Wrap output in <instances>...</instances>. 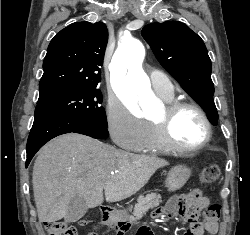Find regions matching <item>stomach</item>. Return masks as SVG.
Here are the masks:
<instances>
[{
  "instance_id": "1",
  "label": "stomach",
  "mask_w": 250,
  "mask_h": 235,
  "mask_svg": "<svg viewBox=\"0 0 250 235\" xmlns=\"http://www.w3.org/2000/svg\"><path fill=\"white\" fill-rule=\"evenodd\" d=\"M191 170L184 165H177L170 169L167 174L165 186L169 191L181 189L189 180Z\"/></svg>"
}]
</instances>
